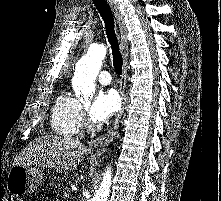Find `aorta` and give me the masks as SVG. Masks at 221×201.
Returning a JSON list of instances; mask_svg holds the SVG:
<instances>
[{"label":"aorta","instance_id":"obj_1","mask_svg":"<svg viewBox=\"0 0 221 201\" xmlns=\"http://www.w3.org/2000/svg\"><path fill=\"white\" fill-rule=\"evenodd\" d=\"M106 53L107 48L104 45L90 46L87 55L81 59L72 80V86L76 96L88 98L94 94V82ZM111 183L112 171L110 167H107L103 175V180L91 201H108Z\"/></svg>","mask_w":221,"mask_h":201}]
</instances>
